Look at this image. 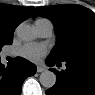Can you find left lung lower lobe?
Here are the masks:
<instances>
[{
  "instance_id": "0a47b994",
  "label": "left lung lower lobe",
  "mask_w": 95,
  "mask_h": 95,
  "mask_svg": "<svg viewBox=\"0 0 95 95\" xmlns=\"http://www.w3.org/2000/svg\"><path fill=\"white\" fill-rule=\"evenodd\" d=\"M46 62L54 66L60 61L48 57ZM50 70L56 74L57 82L46 91L47 95H95V62L66 61V70Z\"/></svg>"
}]
</instances>
